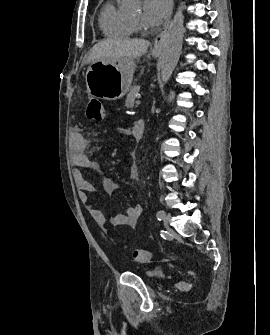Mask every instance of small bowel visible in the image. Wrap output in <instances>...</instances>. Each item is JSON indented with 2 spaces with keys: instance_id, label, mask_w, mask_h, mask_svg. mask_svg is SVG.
I'll use <instances>...</instances> for the list:
<instances>
[{
  "instance_id": "small-bowel-1",
  "label": "small bowel",
  "mask_w": 270,
  "mask_h": 335,
  "mask_svg": "<svg viewBox=\"0 0 270 335\" xmlns=\"http://www.w3.org/2000/svg\"><path fill=\"white\" fill-rule=\"evenodd\" d=\"M69 147L70 161L74 166L73 178L79 192L80 200L84 204H89V194L94 193L96 187L85 178L82 169L99 172L100 166L86 154L87 140L82 135L80 128L73 127L71 129ZM132 157H135L134 153H132ZM131 177L136 180L139 179V174L135 168L131 170ZM103 188L107 194H112L117 189V185L111 178H105ZM88 210L92 218L100 226L111 224L113 226L135 227L143 214V206L140 204L128 207L124 213H118L110 221L106 219L101 210L91 205H88Z\"/></svg>"
}]
</instances>
